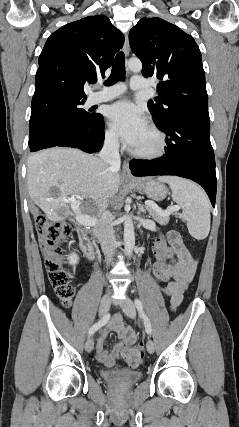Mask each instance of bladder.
I'll return each instance as SVG.
<instances>
[{
  "mask_svg": "<svg viewBox=\"0 0 239 427\" xmlns=\"http://www.w3.org/2000/svg\"><path fill=\"white\" fill-rule=\"evenodd\" d=\"M102 378L113 384L128 386L136 383L142 376V373L137 370L129 369H113L101 371Z\"/></svg>",
  "mask_w": 239,
  "mask_h": 427,
  "instance_id": "bladder-1",
  "label": "bladder"
}]
</instances>
